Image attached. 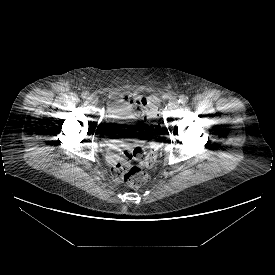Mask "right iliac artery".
Here are the masks:
<instances>
[{
	"mask_svg": "<svg viewBox=\"0 0 275 275\" xmlns=\"http://www.w3.org/2000/svg\"><path fill=\"white\" fill-rule=\"evenodd\" d=\"M82 98L83 99H88L89 98V93L88 92H83L82 93Z\"/></svg>",
	"mask_w": 275,
	"mask_h": 275,
	"instance_id": "right-iliac-artery-1",
	"label": "right iliac artery"
}]
</instances>
